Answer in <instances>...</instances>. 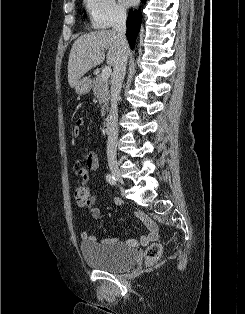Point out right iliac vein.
<instances>
[{"label":"right iliac vein","mask_w":245,"mask_h":314,"mask_svg":"<svg viewBox=\"0 0 245 314\" xmlns=\"http://www.w3.org/2000/svg\"><path fill=\"white\" fill-rule=\"evenodd\" d=\"M109 168H110V171L111 173L113 174V176L115 177V179L120 183V184H123V177L121 175V172L117 166V164L115 163H110L109 164Z\"/></svg>","instance_id":"right-iliac-vein-1"}]
</instances>
